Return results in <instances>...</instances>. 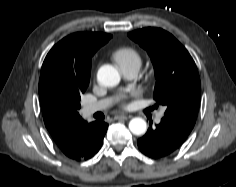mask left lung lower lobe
Returning a JSON list of instances; mask_svg holds the SVG:
<instances>
[{
    "mask_svg": "<svg viewBox=\"0 0 236 187\" xmlns=\"http://www.w3.org/2000/svg\"><path fill=\"white\" fill-rule=\"evenodd\" d=\"M189 131L180 127L171 120L162 118L155 128H150L147 133L138 139V147L142 153L150 158H161L178 149L186 140Z\"/></svg>",
    "mask_w": 236,
    "mask_h": 187,
    "instance_id": "left-lung-lower-lobe-1",
    "label": "left lung lower lobe"
}]
</instances>
